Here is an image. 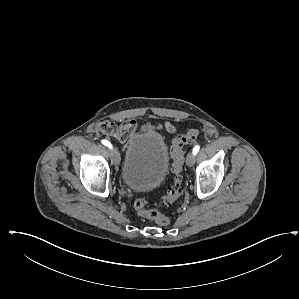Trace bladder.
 I'll return each mask as SVG.
<instances>
[{
  "mask_svg": "<svg viewBox=\"0 0 299 299\" xmlns=\"http://www.w3.org/2000/svg\"><path fill=\"white\" fill-rule=\"evenodd\" d=\"M168 171V149L162 135L150 131L133 136L127 143L122 181L133 191L158 187Z\"/></svg>",
  "mask_w": 299,
  "mask_h": 299,
  "instance_id": "31cf9c89",
  "label": "bladder"
}]
</instances>
